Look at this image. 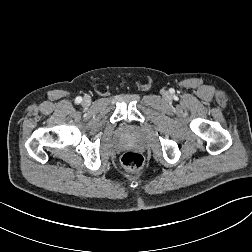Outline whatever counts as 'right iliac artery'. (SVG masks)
<instances>
[{"label":"right iliac artery","mask_w":252,"mask_h":252,"mask_svg":"<svg viewBox=\"0 0 252 252\" xmlns=\"http://www.w3.org/2000/svg\"><path fill=\"white\" fill-rule=\"evenodd\" d=\"M75 101H76V103H80L82 101V98L81 97H77Z\"/></svg>","instance_id":"1"}]
</instances>
